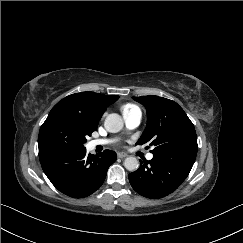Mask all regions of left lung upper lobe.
<instances>
[{"label": "left lung upper lobe", "instance_id": "5c2ea615", "mask_svg": "<svg viewBox=\"0 0 243 243\" xmlns=\"http://www.w3.org/2000/svg\"><path fill=\"white\" fill-rule=\"evenodd\" d=\"M133 99L147 110V125L137 144H149L153 147L152 153L174 145L197 144L194 125L176 102L159 96Z\"/></svg>", "mask_w": 243, "mask_h": 243}]
</instances>
